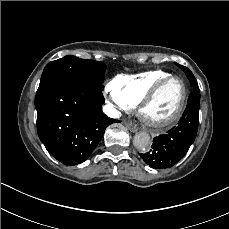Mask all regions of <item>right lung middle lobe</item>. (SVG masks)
I'll return each instance as SVG.
<instances>
[{
    "mask_svg": "<svg viewBox=\"0 0 229 229\" xmlns=\"http://www.w3.org/2000/svg\"><path fill=\"white\" fill-rule=\"evenodd\" d=\"M106 65L102 62L65 56L46 65L41 76L37 94L51 84L61 80H79L102 89Z\"/></svg>",
    "mask_w": 229,
    "mask_h": 229,
    "instance_id": "dd1d6c3e",
    "label": "right lung middle lobe"
}]
</instances>
